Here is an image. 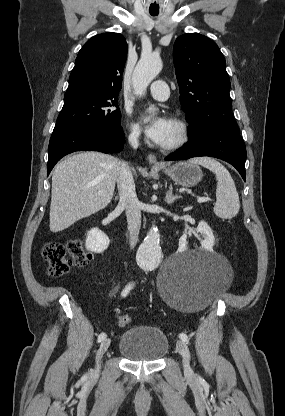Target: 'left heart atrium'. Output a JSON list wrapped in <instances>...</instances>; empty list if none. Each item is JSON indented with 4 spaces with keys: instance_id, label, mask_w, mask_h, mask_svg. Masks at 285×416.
I'll list each match as a JSON object with an SVG mask.
<instances>
[{
    "instance_id": "left-heart-atrium-1",
    "label": "left heart atrium",
    "mask_w": 285,
    "mask_h": 416,
    "mask_svg": "<svg viewBox=\"0 0 285 416\" xmlns=\"http://www.w3.org/2000/svg\"><path fill=\"white\" fill-rule=\"evenodd\" d=\"M146 136L155 144L163 145L171 130V121L164 115L145 116Z\"/></svg>"
}]
</instances>
